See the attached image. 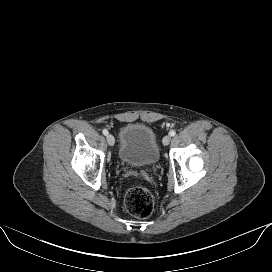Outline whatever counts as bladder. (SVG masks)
Instances as JSON below:
<instances>
[{"instance_id":"31cf9c89","label":"bladder","mask_w":272,"mask_h":272,"mask_svg":"<svg viewBox=\"0 0 272 272\" xmlns=\"http://www.w3.org/2000/svg\"><path fill=\"white\" fill-rule=\"evenodd\" d=\"M122 162L135 167L155 165L160 150L154 131L147 125L129 124L120 133L118 151Z\"/></svg>"}]
</instances>
